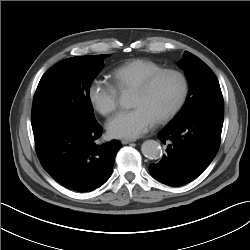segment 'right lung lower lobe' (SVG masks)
<instances>
[{"instance_id":"right-lung-lower-lobe-1","label":"right lung lower lobe","mask_w":250,"mask_h":250,"mask_svg":"<svg viewBox=\"0 0 250 250\" xmlns=\"http://www.w3.org/2000/svg\"><path fill=\"white\" fill-rule=\"evenodd\" d=\"M102 128H69L34 135L36 152L43 168L62 186L77 192L101 187L111 176L121 143L97 144Z\"/></svg>"}]
</instances>
